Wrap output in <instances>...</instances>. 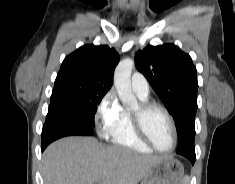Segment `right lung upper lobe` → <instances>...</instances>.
Segmentation results:
<instances>
[{
  "label": "right lung upper lobe",
  "instance_id": "right-lung-upper-lobe-1",
  "mask_svg": "<svg viewBox=\"0 0 235 184\" xmlns=\"http://www.w3.org/2000/svg\"><path fill=\"white\" fill-rule=\"evenodd\" d=\"M119 55L107 45H84L64 59L53 91L66 87H102L110 89Z\"/></svg>",
  "mask_w": 235,
  "mask_h": 184
}]
</instances>
